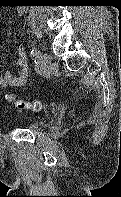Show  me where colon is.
<instances>
[{
	"label": "colon",
	"mask_w": 121,
	"mask_h": 197,
	"mask_svg": "<svg viewBox=\"0 0 121 197\" xmlns=\"http://www.w3.org/2000/svg\"><path fill=\"white\" fill-rule=\"evenodd\" d=\"M6 101L9 104L15 105L17 108L22 110H30V111H40L42 108V104L39 100H33V101H24L19 100L17 97L13 94H7L6 95Z\"/></svg>",
	"instance_id": "obj_1"
}]
</instances>
